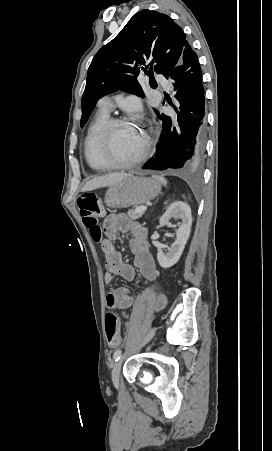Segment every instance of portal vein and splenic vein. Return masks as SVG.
<instances>
[{"label": "portal vein and splenic vein", "mask_w": 272, "mask_h": 451, "mask_svg": "<svg viewBox=\"0 0 272 451\" xmlns=\"http://www.w3.org/2000/svg\"><path fill=\"white\" fill-rule=\"evenodd\" d=\"M147 210V206H139V208H136L135 212L136 214H141V212H145Z\"/></svg>", "instance_id": "portal-vein-and-splenic-vein-1"}]
</instances>
